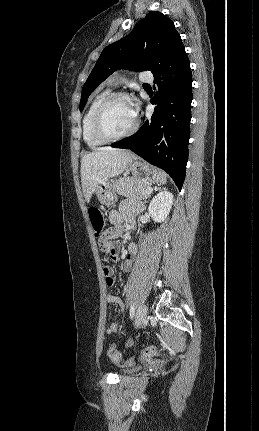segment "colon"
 <instances>
[{
  "label": "colon",
  "mask_w": 259,
  "mask_h": 431,
  "mask_svg": "<svg viewBox=\"0 0 259 431\" xmlns=\"http://www.w3.org/2000/svg\"><path fill=\"white\" fill-rule=\"evenodd\" d=\"M88 215L90 219V223L93 229V232L96 237L99 238V247L103 254L111 261H115L117 259V250L113 241L105 237V220L103 213L100 209L96 207H91L88 210ZM108 355L112 359V361L116 364H125L127 360L124 359L121 354L118 352L114 344H111L108 348ZM159 351L155 346H149L145 348L139 355V359L147 360L152 357L158 356Z\"/></svg>",
  "instance_id": "colon-1"
}]
</instances>
